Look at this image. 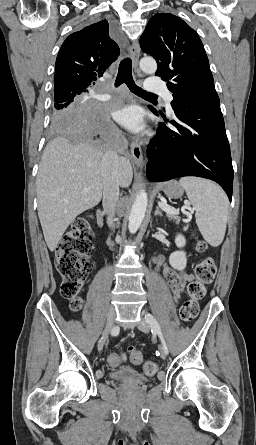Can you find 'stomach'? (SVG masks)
Returning a JSON list of instances; mask_svg holds the SVG:
<instances>
[{
  "label": "stomach",
  "instance_id": "1",
  "mask_svg": "<svg viewBox=\"0 0 256 445\" xmlns=\"http://www.w3.org/2000/svg\"><path fill=\"white\" fill-rule=\"evenodd\" d=\"M163 192L168 198L178 199L183 195L184 189L176 180H171L164 185Z\"/></svg>",
  "mask_w": 256,
  "mask_h": 445
}]
</instances>
